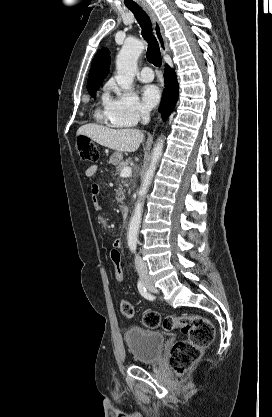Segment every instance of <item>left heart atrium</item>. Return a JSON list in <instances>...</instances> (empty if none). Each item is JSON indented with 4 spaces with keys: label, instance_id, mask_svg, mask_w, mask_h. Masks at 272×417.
Returning <instances> with one entry per match:
<instances>
[{
    "label": "left heart atrium",
    "instance_id": "1",
    "mask_svg": "<svg viewBox=\"0 0 272 417\" xmlns=\"http://www.w3.org/2000/svg\"><path fill=\"white\" fill-rule=\"evenodd\" d=\"M142 97L145 105L152 108L160 101L161 93L157 86L147 85L142 90Z\"/></svg>",
    "mask_w": 272,
    "mask_h": 417
}]
</instances>
